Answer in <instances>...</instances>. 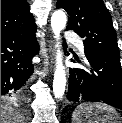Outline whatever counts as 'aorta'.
Returning a JSON list of instances; mask_svg holds the SVG:
<instances>
[{"mask_svg": "<svg viewBox=\"0 0 122 123\" xmlns=\"http://www.w3.org/2000/svg\"><path fill=\"white\" fill-rule=\"evenodd\" d=\"M67 22L66 14L62 10H57L52 14L51 27L54 33V38L57 41L56 47V69L53 79V94L54 97L59 99L62 98L66 87V74L65 68L62 62V53L59 50L60 47V32L64 30Z\"/></svg>", "mask_w": 122, "mask_h": 123, "instance_id": "aorta-1", "label": "aorta"}]
</instances>
